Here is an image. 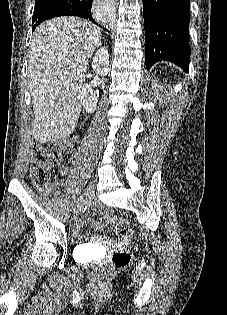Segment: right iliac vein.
<instances>
[{
    "instance_id": "63e3f726",
    "label": "right iliac vein",
    "mask_w": 227,
    "mask_h": 315,
    "mask_svg": "<svg viewBox=\"0 0 227 315\" xmlns=\"http://www.w3.org/2000/svg\"><path fill=\"white\" fill-rule=\"evenodd\" d=\"M95 193V185L93 183H90L83 196L80 198V200L78 201L76 208L74 210V217L78 216L82 211L83 208L85 206V204L87 203L88 200L92 199V197L94 196Z\"/></svg>"
}]
</instances>
